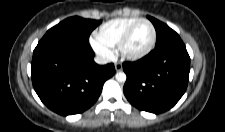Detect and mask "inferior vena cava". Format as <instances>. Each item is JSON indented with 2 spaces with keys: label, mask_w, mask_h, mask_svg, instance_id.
<instances>
[{
  "label": "inferior vena cava",
  "mask_w": 225,
  "mask_h": 132,
  "mask_svg": "<svg viewBox=\"0 0 225 132\" xmlns=\"http://www.w3.org/2000/svg\"><path fill=\"white\" fill-rule=\"evenodd\" d=\"M94 60H95V62H96L97 64H101V65L107 64V63L110 62V59H109V58H107V57H102V56H96V57L94 58Z\"/></svg>",
  "instance_id": "inferior-vena-cava-1"
}]
</instances>
